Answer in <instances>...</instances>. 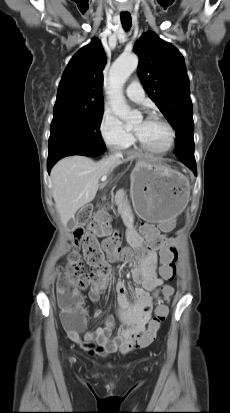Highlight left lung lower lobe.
<instances>
[{
  "instance_id": "1",
  "label": "left lung lower lobe",
  "mask_w": 230,
  "mask_h": 413,
  "mask_svg": "<svg viewBox=\"0 0 230 413\" xmlns=\"http://www.w3.org/2000/svg\"><path fill=\"white\" fill-rule=\"evenodd\" d=\"M188 168H190L195 175H197V168L195 161H184L183 162Z\"/></svg>"
}]
</instances>
